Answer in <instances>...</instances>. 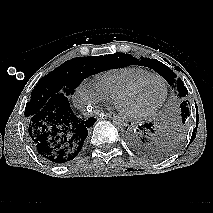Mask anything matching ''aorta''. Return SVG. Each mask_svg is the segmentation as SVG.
Returning a JSON list of instances; mask_svg holds the SVG:
<instances>
[{"mask_svg": "<svg viewBox=\"0 0 213 213\" xmlns=\"http://www.w3.org/2000/svg\"><path fill=\"white\" fill-rule=\"evenodd\" d=\"M113 124L117 129L124 131L126 127L128 126V121L125 116L116 115L113 117Z\"/></svg>", "mask_w": 213, "mask_h": 213, "instance_id": "aorta-1", "label": "aorta"}]
</instances>
